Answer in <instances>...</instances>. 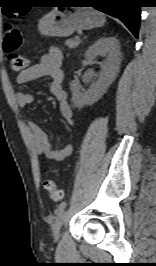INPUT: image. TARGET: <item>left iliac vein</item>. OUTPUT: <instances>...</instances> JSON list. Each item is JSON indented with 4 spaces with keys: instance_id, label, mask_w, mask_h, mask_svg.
Segmentation results:
<instances>
[{
    "instance_id": "4c4485c4",
    "label": "left iliac vein",
    "mask_w": 156,
    "mask_h": 266,
    "mask_svg": "<svg viewBox=\"0 0 156 266\" xmlns=\"http://www.w3.org/2000/svg\"><path fill=\"white\" fill-rule=\"evenodd\" d=\"M67 213L66 211L62 210L58 213L57 218L52 226L54 239L58 240L60 237V230L66 220Z\"/></svg>"
}]
</instances>
